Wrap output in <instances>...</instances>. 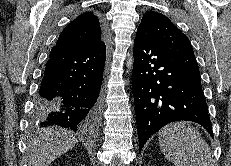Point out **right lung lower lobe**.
I'll use <instances>...</instances> for the list:
<instances>
[{"label": "right lung lower lobe", "instance_id": "98d812e1", "mask_svg": "<svg viewBox=\"0 0 231 166\" xmlns=\"http://www.w3.org/2000/svg\"><path fill=\"white\" fill-rule=\"evenodd\" d=\"M105 57V43L88 49L53 47L35 100L37 124L92 134L101 116Z\"/></svg>", "mask_w": 231, "mask_h": 166}]
</instances>
